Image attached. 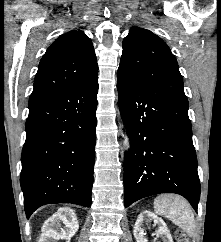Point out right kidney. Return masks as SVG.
Wrapping results in <instances>:
<instances>
[{
  "mask_svg": "<svg viewBox=\"0 0 221 242\" xmlns=\"http://www.w3.org/2000/svg\"><path fill=\"white\" fill-rule=\"evenodd\" d=\"M78 229L79 223L74 210L68 207L60 208L45 221L41 239L42 242H56L60 239L70 242Z\"/></svg>",
  "mask_w": 221,
  "mask_h": 242,
  "instance_id": "right-kidney-1",
  "label": "right kidney"
}]
</instances>
